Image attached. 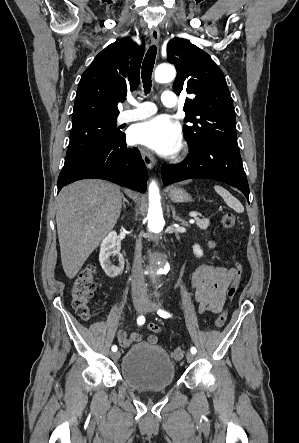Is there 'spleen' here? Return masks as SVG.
Wrapping results in <instances>:
<instances>
[{"label": "spleen", "instance_id": "spleen-1", "mask_svg": "<svg viewBox=\"0 0 299 443\" xmlns=\"http://www.w3.org/2000/svg\"><path fill=\"white\" fill-rule=\"evenodd\" d=\"M214 189L231 209L237 213L244 212L243 205L228 190L218 185L214 186Z\"/></svg>", "mask_w": 299, "mask_h": 443}]
</instances>
